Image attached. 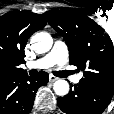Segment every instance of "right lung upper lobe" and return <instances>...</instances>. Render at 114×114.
Here are the masks:
<instances>
[{
  "label": "right lung upper lobe",
  "instance_id": "right-lung-upper-lobe-1",
  "mask_svg": "<svg viewBox=\"0 0 114 114\" xmlns=\"http://www.w3.org/2000/svg\"><path fill=\"white\" fill-rule=\"evenodd\" d=\"M43 15L28 10L11 11L0 17V79L26 73L24 48L30 36L44 28Z\"/></svg>",
  "mask_w": 114,
  "mask_h": 114
}]
</instances>
